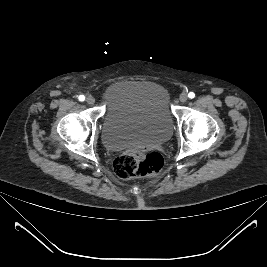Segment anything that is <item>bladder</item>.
<instances>
[{"instance_id": "bladder-1", "label": "bladder", "mask_w": 267, "mask_h": 267, "mask_svg": "<svg viewBox=\"0 0 267 267\" xmlns=\"http://www.w3.org/2000/svg\"><path fill=\"white\" fill-rule=\"evenodd\" d=\"M101 138L110 150L162 144L173 130L167 89L152 81L122 80L105 91Z\"/></svg>"}]
</instances>
